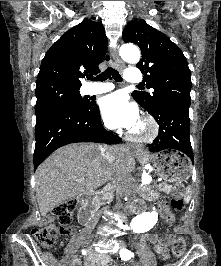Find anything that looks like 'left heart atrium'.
<instances>
[{
  "label": "left heart atrium",
  "mask_w": 221,
  "mask_h": 266,
  "mask_svg": "<svg viewBox=\"0 0 221 266\" xmlns=\"http://www.w3.org/2000/svg\"><path fill=\"white\" fill-rule=\"evenodd\" d=\"M102 117L110 128H127L134 130L139 125V112L134 103L116 92L104 97L100 103Z\"/></svg>",
  "instance_id": "1"
}]
</instances>
